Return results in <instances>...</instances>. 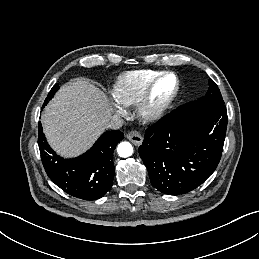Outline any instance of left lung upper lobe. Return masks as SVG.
Returning <instances> with one entry per match:
<instances>
[{"label":"left lung upper lobe","mask_w":259,"mask_h":259,"mask_svg":"<svg viewBox=\"0 0 259 259\" xmlns=\"http://www.w3.org/2000/svg\"><path fill=\"white\" fill-rule=\"evenodd\" d=\"M196 105L224 106V101L222 99L220 90L212 79H209V89L207 91V94L204 97L199 98L195 101L189 102L187 104H184L180 106V108L182 109V108L196 106Z\"/></svg>","instance_id":"5c2ea615"}]
</instances>
